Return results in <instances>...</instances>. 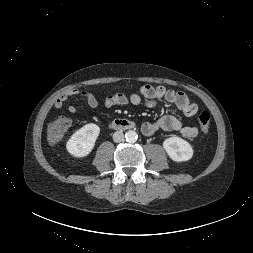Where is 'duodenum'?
Here are the masks:
<instances>
[{"label": "duodenum", "instance_id": "1", "mask_svg": "<svg viewBox=\"0 0 253 253\" xmlns=\"http://www.w3.org/2000/svg\"><path fill=\"white\" fill-rule=\"evenodd\" d=\"M135 123L128 119H115L110 122V127L115 130L134 129Z\"/></svg>", "mask_w": 253, "mask_h": 253}]
</instances>
